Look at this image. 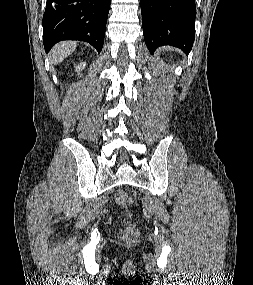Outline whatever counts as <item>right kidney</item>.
<instances>
[{
    "label": "right kidney",
    "mask_w": 253,
    "mask_h": 285,
    "mask_svg": "<svg viewBox=\"0 0 253 285\" xmlns=\"http://www.w3.org/2000/svg\"><path fill=\"white\" fill-rule=\"evenodd\" d=\"M86 63H80V65H78L76 67V72L79 73L83 68H85Z\"/></svg>",
    "instance_id": "right-kidney-1"
}]
</instances>
